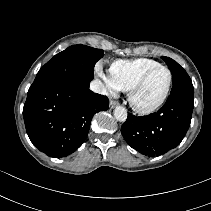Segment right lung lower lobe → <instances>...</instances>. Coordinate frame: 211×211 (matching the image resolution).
I'll return each mask as SVG.
<instances>
[{"instance_id": "obj_1", "label": "right lung lower lobe", "mask_w": 211, "mask_h": 211, "mask_svg": "<svg viewBox=\"0 0 211 211\" xmlns=\"http://www.w3.org/2000/svg\"><path fill=\"white\" fill-rule=\"evenodd\" d=\"M109 108L106 96L62 80L34 82L23 117L33 145L50 157H66L86 139L93 115Z\"/></svg>"}]
</instances>
